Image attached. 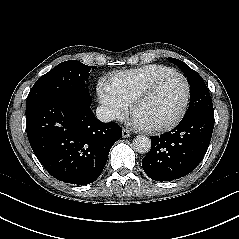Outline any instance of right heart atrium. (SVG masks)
I'll return each instance as SVG.
<instances>
[{
  "label": "right heart atrium",
  "mask_w": 239,
  "mask_h": 239,
  "mask_svg": "<svg viewBox=\"0 0 239 239\" xmlns=\"http://www.w3.org/2000/svg\"><path fill=\"white\" fill-rule=\"evenodd\" d=\"M97 95L102 110L110 120H121L129 112V104L114 90L111 83L101 79L97 85Z\"/></svg>",
  "instance_id": "obj_1"
}]
</instances>
